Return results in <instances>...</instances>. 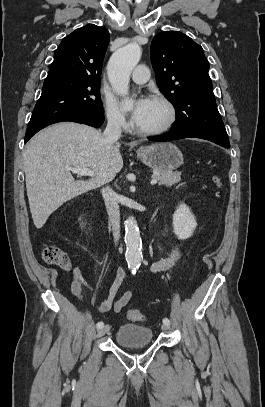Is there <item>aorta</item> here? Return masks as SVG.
<instances>
[{
  "mask_svg": "<svg viewBox=\"0 0 265 407\" xmlns=\"http://www.w3.org/2000/svg\"><path fill=\"white\" fill-rule=\"evenodd\" d=\"M141 58V48L136 43H130L113 53L108 65V77L114 91L122 96V104L131 106L133 100L128 97L130 74ZM125 225V259L129 269L134 273L142 261V241L137 221L129 217Z\"/></svg>",
  "mask_w": 265,
  "mask_h": 407,
  "instance_id": "1",
  "label": "aorta"
}]
</instances>
